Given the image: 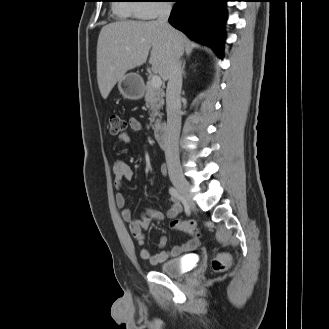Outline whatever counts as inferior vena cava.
<instances>
[{"instance_id":"obj_1","label":"inferior vena cava","mask_w":329,"mask_h":329,"mask_svg":"<svg viewBox=\"0 0 329 329\" xmlns=\"http://www.w3.org/2000/svg\"><path fill=\"white\" fill-rule=\"evenodd\" d=\"M171 5L163 3L160 5L157 23L164 27L169 33L172 27L168 23L171 12ZM182 68L180 56L175 53L166 89V111L167 128L165 141V157L168 166V173L171 179L181 175L178 140L181 129V101L180 93L182 88Z\"/></svg>"}]
</instances>
